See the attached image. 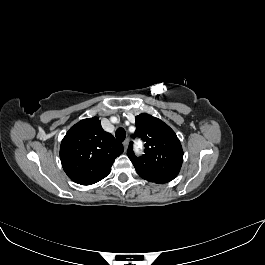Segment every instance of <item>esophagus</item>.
Returning <instances> with one entry per match:
<instances>
[{
    "label": "esophagus",
    "instance_id": "34e87169",
    "mask_svg": "<svg viewBox=\"0 0 265 265\" xmlns=\"http://www.w3.org/2000/svg\"><path fill=\"white\" fill-rule=\"evenodd\" d=\"M128 144H129V140L125 139L124 142H123V146H124L125 151H127Z\"/></svg>",
    "mask_w": 265,
    "mask_h": 265
}]
</instances>
